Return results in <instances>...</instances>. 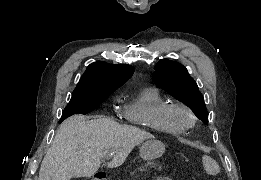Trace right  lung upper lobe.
Instances as JSON below:
<instances>
[{"label": "right lung upper lobe", "mask_w": 261, "mask_h": 180, "mask_svg": "<svg viewBox=\"0 0 261 180\" xmlns=\"http://www.w3.org/2000/svg\"><path fill=\"white\" fill-rule=\"evenodd\" d=\"M133 73L131 65L97 61L87 67L73 93L110 95L131 78Z\"/></svg>", "instance_id": "obj_1"}]
</instances>
